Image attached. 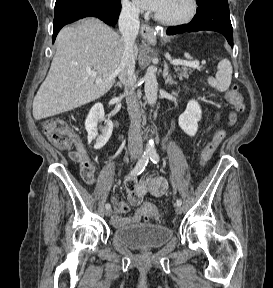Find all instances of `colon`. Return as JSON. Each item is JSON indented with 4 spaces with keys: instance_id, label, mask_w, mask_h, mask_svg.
Here are the masks:
<instances>
[{
    "instance_id": "1",
    "label": "colon",
    "mask_w": 273,
    "mask_h": 288,
    "mask_svg": "<svg viewBox=\"0 0 273 288\" xmlns=\"http://www.w3.org/2000/svg\"><path fill=\"white\" fill-rule=\"evenodd\" d=\"M225 98L238 112H243L245 109L243 97L237 87L229 89ZM43 133L48 140L59 149H69L77 142V136L70 129L66 121L61 118H50L43 123ZM225 137V131L219 130L214 136L208 140L201 153V162H208L217 147ZM144 215L147 218H152L156 221L160 220V215L157 208L151 203H144L141 206Z\"/></svg>"
}]
</instances>
